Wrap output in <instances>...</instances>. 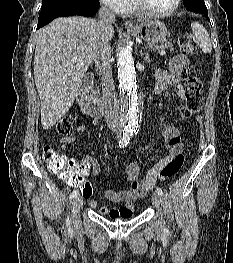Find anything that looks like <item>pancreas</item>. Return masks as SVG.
<instances>
[{"instance_id": "pancreas-1", "label": "pancreas", "mask_w": 233, "mask_h": 263, "mask_svg": "<svg viewBox=\"0 0 233 263\" xmlns=\"http://www.w3.org/2000/svg\"><path fill=\"white\" fill-rule=\"evenodd\" d=\"M165 48H170V50H174V45L168 40H165L162 42L159 46H156L155 49H161L164 50Z\"/></svg>"}]
</instances>
